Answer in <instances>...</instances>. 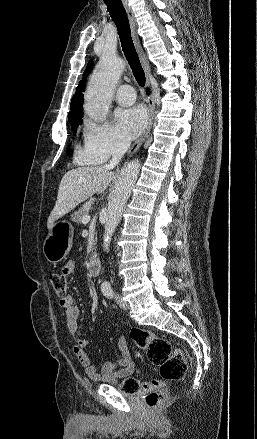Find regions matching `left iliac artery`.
<instances>
[{"label":"left iliac artery","mask_w":257,"mask_h":439,"mask_svg":"<svg viewBox=\"0 0 257 439\" xmlns=\"http://www.w3.org/2000/svg\"><path fill=\"white\" fill-rule=\"evenodd\" d=\"M101 290L106 297L113 298V290L109 282H104L101 285Z\"/></svg>","instance_id":"1"}]
</instances>
